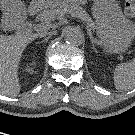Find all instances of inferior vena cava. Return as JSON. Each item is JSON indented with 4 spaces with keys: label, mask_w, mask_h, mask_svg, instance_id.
Here are the masks:
<instances>
[{
    "label": "inferior vena cava",
    "mask_w": 135,
    "mask_h": 135,
    "mask_svg": "<svg viewBox=\"0 0 135 135\" xmlns=\"http://www.w3.org/2000/svg\"><path fill=\"white\" fill-rule=\"evenodd\" d=\"M56 31H52V32H42L39 34L40 37H44V36H51V35H55Z\"/></svg>",
    "instance_id": "1"
}]
</instances>
